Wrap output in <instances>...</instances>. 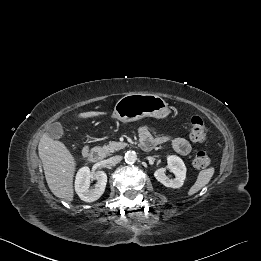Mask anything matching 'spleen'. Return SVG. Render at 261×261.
Returning a JSON list of instances; mask_svg holds the SVG:
<instances>
[{"mask_svg": "<svg viewBox=\"0 0 261 261\" xmlns=\"http://www.w3.org/2000/svg\"><path fill=\"white\" fill-rule=\"evenodd\" d=\"M214 171L215 170L213 167L200 171L197 180L194 183V185L190 188L188 195L189 196L194 195L199 190H201L205 185H207L211 180Z\"/></svg>", "mask_w": 261, "mask_h": 261, "instance_id": "spleen-1", "label": "spleen"}]
</instances>
